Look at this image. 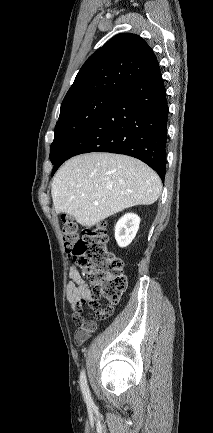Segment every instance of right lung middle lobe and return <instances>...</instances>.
<instances>
[{
    "label": "right lung middle lobe",
    "mask_w": 213,
    "mask_h": 433,
    "mask_svg": "<svg viewBox=\"0 0 213 433\" xmlns=\"http://www.w3.org/2000/svg\"><path fill=\"white\" fill-rule=\"evenodd\" d=\"M121 94L102 92L61 105L55 136L50 147V159L54 163L64 149L84 129L99 118Z\"/></svg>",
    "instance_id": "obj_1"
}]
</instances>
